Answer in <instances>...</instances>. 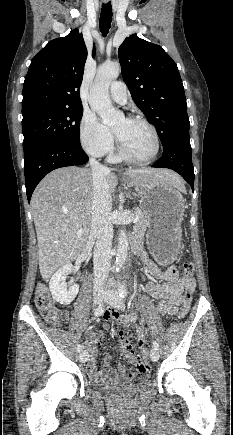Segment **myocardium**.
<instances>
[{
	"mask_svg": "<svg viewBox=\"0 0 233 435\" xmlns=\"http://www.w3.org/2000/svg\"><path fill=\"white\" fill-rule=\"evenodd\" d=\"M126 119L128 121H132V122H140V123L146 125L149 128V130H150V132H151V134L153 136V140H154V151L151 154V156L148 157L147 159H143V160L136 159V158L130 156L125 151V149L122 146L119 138L117 137V135L113 131L115 139H116V143H117L118 154H119L120 158L122 160L128 162V163L135 164V165H148V164H151L152 162H154L156 160V158L158 157L159 151H160V138H159V135H158V132H157L155 126L150 121H148L147 119H145V118H143L141 116H137V115L129 116Z\"/></svg>",
	"mask_w": 233,
	"mask_h": 435,
	"instance_id": "myocardium-1",
	"label": "myocardium"
}]
</instances>
